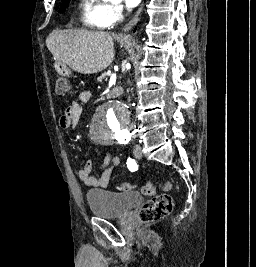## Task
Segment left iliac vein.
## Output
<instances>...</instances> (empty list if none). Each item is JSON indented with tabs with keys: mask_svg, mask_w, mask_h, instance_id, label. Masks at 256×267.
<instances>
[{
	"mask_svg": "<svg viewBox=\"0 0 256 267\" xmlns=\"http://www.w3.org/2000/svg\"><path fill=\"white\" fill-rule=\"evenodd\" d=\"M134 156H135L137 159L142 158V151H141V146H140V145H136V146H135V148H134Z\"/></svg>",
	"mask_w": 256,
	"mask_h": 267,
	"instance_id": "1",
	"label": "left iliac vein"
}]
</instances>
